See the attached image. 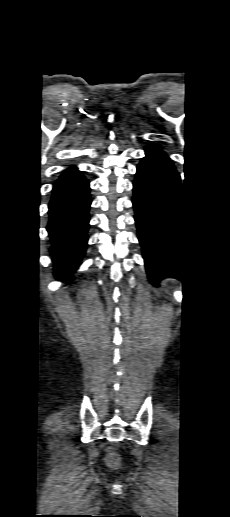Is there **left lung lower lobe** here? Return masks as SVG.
Instances as JSON below:
<instances>
[{"mask_svg": "<svg viewBox=\"0 0 230 517\" xmlns=\"http://www.w3.org/2000/svg\"><path fill=\"white\" fill-rule=\"evenodd\" d=\"M133 183L138 239L150 281L181 279L179 262L181 216L180 175L159 148L147 146Z\"/></svg>", "mask_w": 230, "mask_h": 517, "instance_id": "0a47b994", "label": "left lung lower lobe"}]
</instances>
